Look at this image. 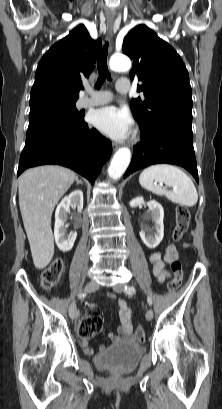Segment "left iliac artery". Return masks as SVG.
<instances>
[{
	"label": "left iliac artery",
	"instance_id": "1",
	"mask_svg": "<svg viewBox=\"0 0 222 409\" xmlns=\"http://www.w3.org/2000/svg\"><path fill=\"white\" fill-rule=\"evenodd\" d=\"M124 290H125V293L128 294V295H133L136 292L134 287H127L126 286ZM147 302H148L149 305H152V298L148 296Z\"/></svg>",
	"mask_w": 222,
	"mask_h": 409
}]
</instances>
